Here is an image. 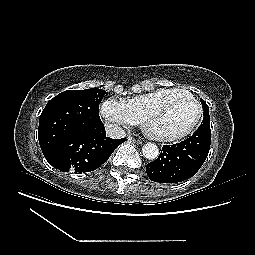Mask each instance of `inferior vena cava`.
<instances>
[{
    "instance_id": "1",
    "label": "inferior vena cava",
    "mask_w": 255,
    "mask_h": 255,
    "mask_svg": "<svg viewBox=\"0 0 255 255\" xmlns=\"http://www.w3.org/2000/svg\"><path fill=\"white\" fill-rule=\"evenodd\" d=\"M107 136L113 139H121L126 137V132L117 124H108L106 126Z\"/></svg>"
}]
</instances>
